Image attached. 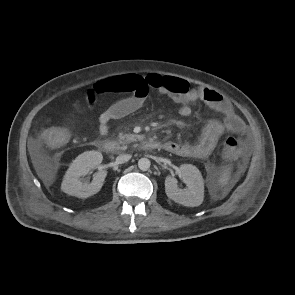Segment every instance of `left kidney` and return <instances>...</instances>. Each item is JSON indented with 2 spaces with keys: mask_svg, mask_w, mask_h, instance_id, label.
I'll return each mask as SVG.
<instances>
[{
  "mask_svg": "<svg viewBox=\"0 0 295 295\" xmlns=\"http://www.w3.org/2000/svg\"><path fill=\"white\" fill-rule=\"evenodd\" d=\"M180 175L187 188L179 189L177 179L167 176L165 192L168 198L187 207L201 205L204 199V181L198 168L191 164H183L180 166Z\"/></svg>",
  "mask_w": 295,
  "mask_h": 295,
  "instance_id": "1",
  "label": "left kidney"
}]
</instances>
